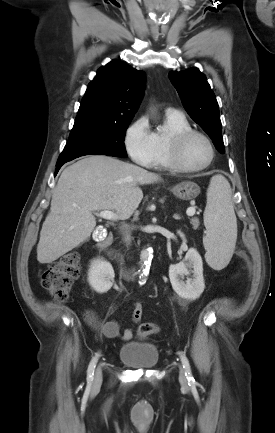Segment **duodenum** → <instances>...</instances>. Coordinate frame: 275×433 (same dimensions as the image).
I'll return each instance as SVG.
<instances>
[{
	"mask_svg": "<svg viewBox=\"0 0 275 433\" xmlns=\"http://www.w3.org/2000/svg\"><path fill=\"white\" fill-rule=\"evenodd\" d=\"M112 235L99 234L97 236V248L99 251L107 254L118 266L120 276L127 280L133 281L137 278V269L133 266H128L123 259L110 249Z\"/></svg>",
	"mask_w": 275,
	"mask_h": 433,
	"instance_id": "obj_1",
	"label": "duodenum"
}]
</instances>
